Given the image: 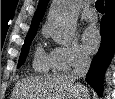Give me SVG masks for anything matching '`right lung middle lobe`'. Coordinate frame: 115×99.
Here are the masks:
<instances>
[{"label":"right lung middle lobe","instance_id":"1","mask_svg":"<svg viewBox=\"0 0 115 99\" xmlns=\"http://www.w3.org/2000/svg\"><path fill=\"white\" fill-rule=\"evenodd\" d=\"M34 36H35V34H29V35L26 36L24 45L22 46V50H21V54H20V57H19V62H18L17 68H19L21 66V64H23L25 62L26 55L29 51L30 43L33 40Z\"/></svg>","mask_w":115,"mask_h":99}]
</instances>
